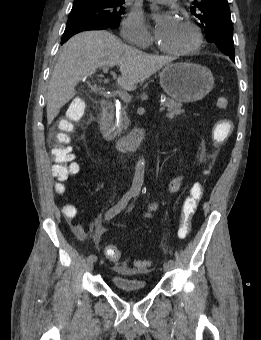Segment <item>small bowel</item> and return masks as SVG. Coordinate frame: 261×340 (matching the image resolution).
I'll use <instances>...</instances> for the list:
<instances>
[{"label":"small bowel","instance_id":"small-bowel-1","mask_svg":"<svg viewBox=\"0 0 261 340\" xmlns=\"http://www.w3.org/2000/svg\"><path fill=\"white\" fill-rule=\"evenodd\" d=\"M182 179L183 178L181 176H178V177L172 179L170 181L169 185H168L167 192L168 193L177 192L179 190L180 186H181ZM155 208H156V204H151L149 206L150 210H153ZM72 210L73 211L70 214H68V213H66L64 211L66 217L68 219H71V220L75 219L76 216H77L76 209L74 207H72ZM72 228H73V231H74L75 235L79 239L84 240V239L87 238L86 230H85L84 226L80 222H77V223L73 224ZM104 232H105V229L102 226L98 225L97 228H96L95 234L92 236V239L95 240V241L99 240L103 236ZM118 270L119 271H123L124 269L123 268H118Z\"/></svg>","mask_w":261,"mask_h":340}]
</instances>
